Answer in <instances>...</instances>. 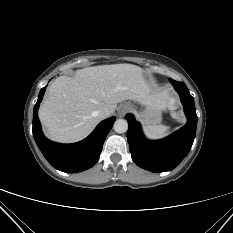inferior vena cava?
I'll use <instances>...</instances> for the list:
<instances>
[{"mask_svg":"<svg viewBox=\"0 0 233 233\" xmlns=\"http://www.w3.org/2000/svg\"><path fill=\"white\" fill-rule=\"evenodd\" d=\"M97 115L101 118V119H104V118H107L111 115V112L108 108H103V109H100L98 112H97Z\"/></svg>","mask_w":233,"mask_h":233,"instance_id":"1","label":"inferior vena cava"}]
</instances>
